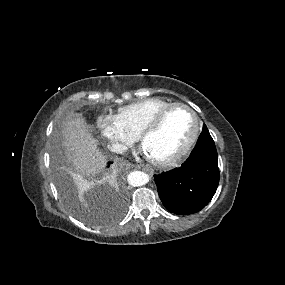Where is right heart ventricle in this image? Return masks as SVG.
<instances>
[{
	"label": "right heart ventricle",
	"mask_w": 285,
	"mask_h": 285,
	"mask_svg": "<svg viewBox=\"0 0 285 285\" xmlns=\"http://www.w3.org/2000/svg\"><path fill=\"white\" fill-rule=\"evenodd\" d=\"M171 104L173 103L161 98H148L122 107L118 117L126 127L139 134L147 122Z\"/></svg>",
	"instance_id": "right-heart-ventricle-1"
}]
</instances>
